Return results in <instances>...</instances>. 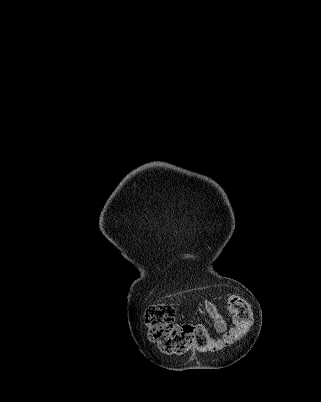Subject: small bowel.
<instances>
[{"label":"small bowel","mask_w":321,"mask_h":402,"mask_svg":"<svg viewBox=\"0 0 321 402\" xmlns=\"http://www.w3.org/2000/svg\"><path fill=\"white\" fill-rule=\"evenodd\" d=\"M203 306L205 312L213 319L215 330L218 333H223L227 329V322L219 312L218 307L210 301L205 302Z\"/></svg>","instance_id":"obj_1"}]
</instances>
